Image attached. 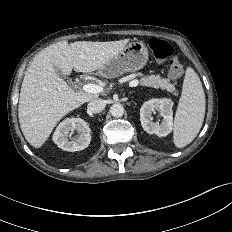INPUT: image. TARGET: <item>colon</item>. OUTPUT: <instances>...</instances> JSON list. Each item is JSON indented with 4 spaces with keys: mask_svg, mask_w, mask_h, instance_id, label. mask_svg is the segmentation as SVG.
Instances as JSON below:
<instances>
[{
    "mask_svg": "<svg viewBox=\"0 0 232 232\" xmlns=\"http://www.w3.org/2000/svg\"><path fill=\"white\" fill-rule=\"evenodd\" d=\"M148 46L156 59L169 62V77L173 81L181 79L184 69L177 57L174 56L171 44L163 39L152 38L149 40Z\"/></svg>",
    "mask_w": 232,
    "mask_h": 232,
    "instance_id": "colon-1",
    "label": "colon"
}]
</instances>
